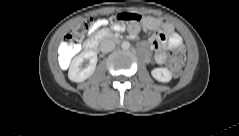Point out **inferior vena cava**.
Instances as JSON below:
<instances>
[{
  "label": "inferior vena cava",
  "mask_w": 239,
  "mask_h": 136,
  "mask_svg": "<svg viewBox=\"0 0 239 136\" xmlns=\"http://www.w3.org/2000/svg\"><path fill=\"white\" fill-rule=\"evenodd\" d=\"M115 48V42L111 39H104L100 44V50L103 53L110 52L114 50Z\"/></svg>",
  "instance_id": "602c4592"
}]
</instances>
